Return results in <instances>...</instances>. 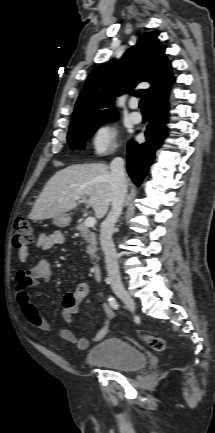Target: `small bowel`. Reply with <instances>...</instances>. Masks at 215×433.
Returning a JSON list of instances; mask_svg holds the SVG:
<instances>
[{
    "label": "small bowel",
    "mask_w": 215,
    "mask_h": 433,
    "mask_svg": "<svg viewBox=\"0 0 215 433\" xmlns=\"http://www.w3.org/2000/svg\"><path fill=\"white\" fill-rule=\"evenodd\" d=\"M64 241L65 237L61 231L43 232L39 234L36 246L43 251H48L55 245L63 244ZM18 255L20 260L26 261L31 255L30 249L23 247L19 250ZM51 277V264L47 258H41L30 268L19 270L16 275L15 298L17 304L26 320L32 326L44 331H50L52 327L30 302L28 289L33 286L46 285L51 280ZM88 290L89 288L86 282H79L73 291H69L63 296L61 318L67 323L71 324L73 317L79 313L80 304L87 297ZM102 311L104 314V322L102 327L92 338L94 342L100 341L107 335L110 320L114 316L112 308L106 303L102 305ZM55 333L62 340L75 345L80 350L87 349L90 344L89 339L77 337L71 330L64 328L60 323H58L55 328Z\"/></svg>",
    "instance_id": "1"
}]
</instances>
